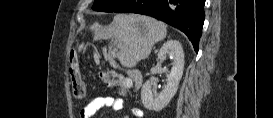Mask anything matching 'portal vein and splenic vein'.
<instances>
[{"mask_svg": "<svg viewBox=\"0 0 273 118\" xmlns=\"http://www.w3.org/2000/svg\"><path fill=\"white\" fill-rule=\"evenodd\" d=\"M117 43V42H116ZM117 47L120 48L121 46L117 43Z\"/></svg>", "mask_w": 273, "mask_h": 118, "instance_id": "obj_1", "label": "portal vein and splenic vein"}]
</instances>
